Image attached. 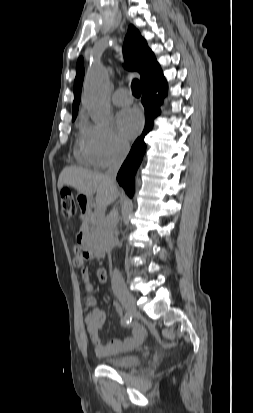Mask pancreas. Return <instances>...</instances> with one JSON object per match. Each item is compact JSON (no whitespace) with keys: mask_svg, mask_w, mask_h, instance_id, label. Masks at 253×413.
<instances>
[{"mask_svg":"<svg viewBox=\"0 0 253 413\" xmlns=\"http://www.w3.org/2000/svg\"><path fill=\"white\" fill-rule=\"evenodd\" d=\"M103 214L101 211L98 210H89L86 212V214L83 217V223L82 226L86 227L88 225L90 226H98L102 220Z\"/></svg>","mask_w":253,"mask_h":413,"instance_id":"cf45deb5","label":"pancreas"}]
</instances>
